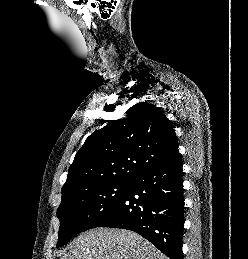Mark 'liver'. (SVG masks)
I'll return each instance as SVG.
<instances>
[{"label":"liver","mask_w":248,"mask_h":259,"mask_svg":"<svg viewBox=\"0 0 248 259\" xmlns=\"http://www.w3.org/2000/svg\"><path fill=\"white\" fill-rule=\"evenodd\" d=\"M60 259H168L139 234L96 228L80 234Z\"/></svg>","instance_id":"6515ba94"}]
</instances>
